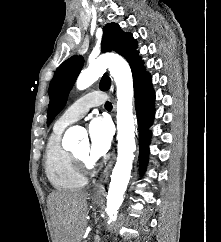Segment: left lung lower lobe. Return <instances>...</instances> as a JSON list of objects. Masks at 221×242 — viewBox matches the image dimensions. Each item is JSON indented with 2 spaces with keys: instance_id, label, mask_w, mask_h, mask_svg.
I'll use <instances>...</instances> for the list:
<instances>
[{
  "instance_id": "0a47b994",
  "label": "left lung lower lobe",
  "mask_w": 221,
  "mask_h": 242,
  "mask_svg": "<svg viewBox=\"0 0 221 242\" xmlns=\"http://www.w3.org/2000/svg\"><path fill=\"white\" fill-rule=\"evenodd\" d=\"M135 108L139 124L140 133V165L141 171L144 170L148 161L149 142L151 132L149 127L152 125L155 115L154 101L155 93L152 88V81L145 68H141L133 73Z\"/></svg>"
}]
</instances>
